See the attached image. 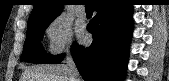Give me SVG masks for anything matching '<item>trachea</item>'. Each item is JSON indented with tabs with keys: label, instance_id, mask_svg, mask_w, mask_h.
<instances>
[{
	"label": "trachea",
	"instance_id": "obj_1",
	"mask_svg": "<svg viewBox=\"0 0 169 81\" xmlns=\"http://www.w3.org/2000/svg\"><path fill=\"white\" fill-rule=\"evenodd\" d=\"M84 5H85L86 10H92L93 7H94V4H93L92 1H86V2L84 3Z\"/></svg>",
	"mask_w": 169,
	"mask_h": 81
}]
</instances>
